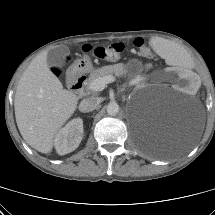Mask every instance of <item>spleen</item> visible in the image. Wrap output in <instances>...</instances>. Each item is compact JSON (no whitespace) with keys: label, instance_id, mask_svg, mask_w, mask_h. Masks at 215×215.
I'll return each mask as SVG.
<instances>
[{"label":"spleen","instance_id":"1","mask_svg":"<svg viewBox=\"0 0 215 215\" xmlns=\"http://www.w3.org/2000/svg\"><path fill=\"white\" fill-rule=\"evenodd\" d=\"M147 45L159 59L168 65L183 68L184 70H189L193 66V60L187 54L186 49L174 44L171 40L151 36L147 40Z\"/></svg>","mask_w":215,"mask_h":215}]
</instances>
